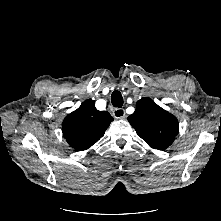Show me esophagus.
Here are the masks:
<instances>
[{"instance_id":"34e87169","label":"esophagus","mask_w":221,"mask_h":221,"mask_svg":"<svg viewBox=\"0 0 221 221\" xmlns=\"http://www.w3.org/2000/svg\"><path fill=\"white\" fill-rule=\"evenodd\" d=\"M125 110L123 108H115L113 110V116L116 118V119H122L125 117Z\"/></svg>"}]
</instances>
